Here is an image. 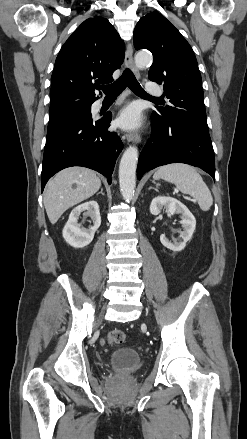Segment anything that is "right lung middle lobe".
<instances>
[{"label": "right lung middle lobe", "instance_id": "right-lung-middle-lobe-1", "mask_svg": "<svg viewBox=\"0 0 247 439\" xmlns=\"http://www.w3.org/2000/svg\"><path fill=\"white\" fill-rule=\"evenodd\" d=\"M90 112H91V104L89 103L77 104L61 110L49 112L48 128L56 124H59L61 122L70 120L73 117Z\"/></svg>", "mask_w": 247, "mask_h": 439}]
</instances>
